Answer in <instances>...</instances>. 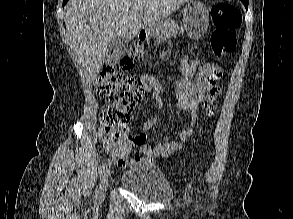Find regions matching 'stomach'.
<instances>
[{
	"instance_id": "1",
	"label": "stomach",
	"mask_w": 293,
	"mask_h": 219,
	"mask_svg": "<svg viewBox=\"0 0 293 219\" xmlns=\"http://www.w3.org/2000/svg\"><path fill=\"white\" fill-rule=\"evenodd\" d=\"M172 22L165 20L158 22L156 25L147 28L150 36L158 38L161 35H168V37L175 36L171 34L170 26ZM183 25L192 39L201 38L207 31L209 25V10L198 0H191L183 8Z\"/></svg>"
}]
</instances>
